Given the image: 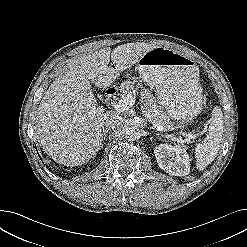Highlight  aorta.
Returning a JSON list of instances; mask_svg holds the SVG:
<instances>
[{
    "instance_id": "762f6f07",
    "label": "aorta",
    "mask_w": 247,
    "mask_h": 247,
    "mask_svg": "<svg viewBox=\"0 0 247 247\" xmlns=\"http://www.w3.org/2000/svg\"><path fill=\"white\" fill-rule=\"evenodd\" d=\"M123 134L125 136V139L128 141H134L136 139H139L140 132L136 130L135 127H127L123 128Z\"/></svg>"
}]
</instances>
